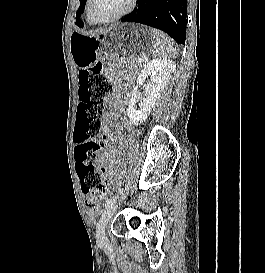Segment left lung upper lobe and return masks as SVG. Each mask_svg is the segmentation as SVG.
<instances>
[{
	"instance_id": "1",
	"label": "left lung upper lobe",
	"mask_w": 265,
	"mask_h": 273,
	"mask_svg": "<svg viewBox=\"0 0 265 273\" xmlns=\"http://www.w3.org/2000/svg\"><path fill=\"white\" fill-rule=\"evenodd\" d=\"M86 1L87 0H80V7L76 13V25L79 27L83 26V22L80 20V16L84 11Z\"/></svg>"
}]
</instances>
